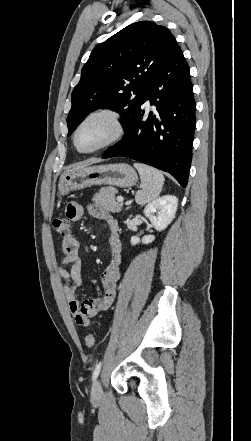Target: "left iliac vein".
Here are the masks:
<instances>
[{"label":"left iliac vein","instance_id":"obj_1","mask_svg":"<svg viewBox=\"0 0 251 441\" xmlns=\"http://www.w3.org/2000/svg\"><path fill=\"white\" fill-rule=\"evenodd\" d=\"M102 394V387L99 379H95L91 389V395L95 398L100 397Z\"/></svg>","mask_w":251,"mask_h":441}]
</instances>
